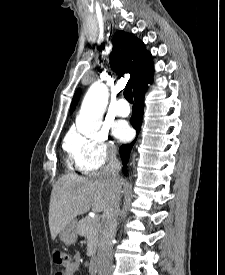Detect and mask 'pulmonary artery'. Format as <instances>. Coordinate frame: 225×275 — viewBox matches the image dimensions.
I'll return each instance as SVG.
<instances>
[{
	"mask_svg": "<svg viewBox=\"0 0 225 275\" xmlns=\"http://www.w3.org/2000/svg\"><path fill=\"white\" fill-rule=\"evenodd\" d=\"M114 112L119 117H126L130 113V107L124 99H120L115 105Z\"/></svg>",
	"mask_w": 225,
	"mask_h": 275,
	"instance_id": "pulmonary-artery-1",
	"label": "pulmonary artery"
}]
</instances>
